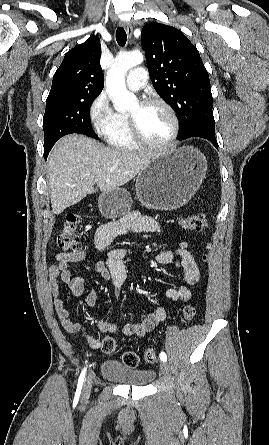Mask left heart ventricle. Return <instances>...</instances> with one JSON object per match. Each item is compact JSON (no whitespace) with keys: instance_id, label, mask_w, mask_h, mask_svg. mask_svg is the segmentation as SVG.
<instances>
[{"instance_id":"b2bd125f","label":"left heart ventricle","mask_w":269,"mask_h":445,"mask_svg":"<svg viewBox=\"0 0 269 445\" xmlns=\"http://www.w3.org/2000/svg\"><path fill=\"white\" fill-rule=\"evenodd\" d=\"M131 113L138 115L143 136L151 143L164 142L172 132V120L168 112L159 105H149L140 108L136 104Z\"/></svg>"}]
</instances>
